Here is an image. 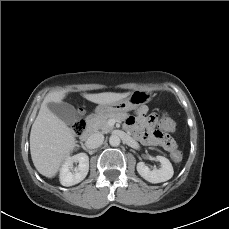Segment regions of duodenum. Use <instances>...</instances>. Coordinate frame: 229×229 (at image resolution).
<instances>
[{
  "mask_svg": "<svg viewBox=\"0 0 229 229\" xmlns=\"http://www.w3.org/2000/svg\"><path fill=\"white\" fill-rule=\"evenodd\" d=\"M98 116L96 114H90L86 117L87 127L81 135V141H86L95 132V123Z\"/></svg>",
  "mask_w": 229,
  "mask_h": 229,
  "instance_id": "1",
  "label": "duodenum"
}]
</instances>
